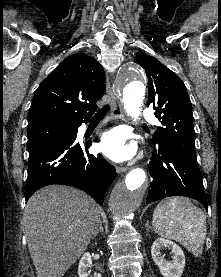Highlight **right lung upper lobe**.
Returning <instances> with one entry per match:
<instances>
[{
  "label": "right lung upper lobe",
  "instance_id": "obj_1",
  "mask_svg": "<svg viewBox=\"0 0 221 277\" xmlns=\"http://www.w3.org/2000/svg\"><path fill=\"white\" fill-rule=\"evenodd\" d=\"M105 92V73L94 58L77 53L67 57L37 88L28 125L89 120Z\"/></svg>",
  "mask_w": 221,
  "mask_h": 277
}]
</instances>
